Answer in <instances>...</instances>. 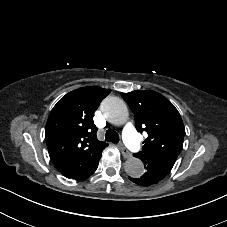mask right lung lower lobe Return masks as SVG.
Masks as SVG:
<instances>
[{
	"label": "right lung lower lobe",
	"instance_id": "obj_1",
	"mask_svg": "<svg viewBox=\"0 0 227 227\" xmlns=\"http://www.w3.org/2000/svg\"><path fill=\"white\" fill-rule=\"evenodd\" d=\"M100 157L101 156L90 159L86 153H79L71 163L62 166L57 170L67 178L83 180L95 172Z\"/></svg>",
	"mask_w": 227,
	"mask_h": 227
}]
</instances>
